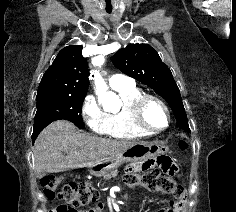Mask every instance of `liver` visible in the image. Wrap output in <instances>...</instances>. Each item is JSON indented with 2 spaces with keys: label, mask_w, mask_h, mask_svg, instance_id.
<instances>
[{
  "label": "liver",
  "mask_w": 236,
  "mask_h": 212,
  "mask_svg": "<svg viewBox=\"0 0 236 212\" xmlns=\"http://www.w3.org/2000/svg\"><path fill=\"white\" fill-rule=\"evenodd\" d=\"M135 141L104 139L82 133L69 121L48 125L34 144L35 171L56 173L90 167L107 157L120 154L137 144ZM67 153V156L63 155Z\"/></svg>",
  "instance_id": "1"
}]
</instances>
